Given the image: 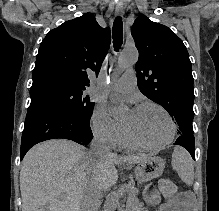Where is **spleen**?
Listing matches in <instances>:
<instances>
[{
	"label": "spleen",
	"mask_w": 219,
	"mask_h": 211,
	"mask_svg": "<svg viewBox=\"0 0 219 211\" xmlns=\"http://www.w3.org/2000/svg\"><path fill=\"white\" fill-rule=\"evenodd\" d=\"M173 169H176L179 177L185 181L186 185H192L194 181V165L191 155L187 149L176 145L172 153Z\"/></svg>",
	"instance_id": "3e777b00"
}]
</instances>
